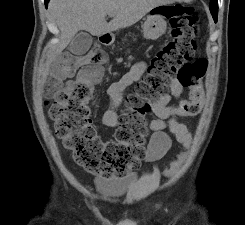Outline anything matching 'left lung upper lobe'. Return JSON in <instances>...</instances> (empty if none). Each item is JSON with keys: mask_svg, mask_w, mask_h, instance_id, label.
<instances>
[{"mask_svg": "<svg viewBox=\"0 0 245 225\" xmlns=\"http://www.w3.org/2000/svg\"><path fill=\"white\" fill-rule=\"evenodd\" d=\"M210 12L214 18V20H217L218 15V1L217 0H210Z\"/></svg>", "mask_w": 245, "mask_h": 225, "instance_id": "1", "label": "left lung upper lobe"}]
</instances>
